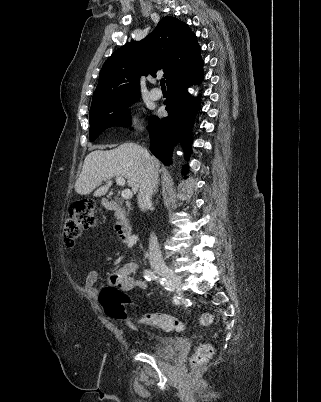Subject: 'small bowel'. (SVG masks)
<instances>
[{
	"mask_svg": "<svg viewBox=\"0 0 321 402\" xmlns=\"http://www.w3.org/2000/svg\"><path fill=\"white\" fill-rule=\"evenodd\" d=\"M137 271L138 264L134 262H129L116 269L112 273L110 280L112 282L119 283L121 287L127 291L135 288L144 289L146 287V283L136 277ZM96 281L97 273L93 271L88 273L85 284L87 287H93ZM126 324L131 330L136 331L138 329L137 325L132 321H127Z\"/></svg>",
	"mask_w": 321,
	"mask_h": 402,
	"instance_id": "small-bowel-1",
	"label": "small bowel"
}]
</instances>
